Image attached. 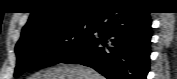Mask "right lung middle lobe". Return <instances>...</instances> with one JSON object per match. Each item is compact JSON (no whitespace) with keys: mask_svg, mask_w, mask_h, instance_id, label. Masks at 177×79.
I'll list each match as a JSON object with an SVG mask.
<instances>
[{"mask_svg":"<svg viewBox=\"0 0 177 79\" xmlns=\"http://www.w3.org/2000/svg\"><path fill=\"white\" fill-rule=\"evenodd\" d=\"M92 21H74L41 28L18 41L15 77L30 69L60 63L91 34Z\"/></svg>","mask_w":177,"mask_h":79,"instance_id":"right-lung-middle-lobe-1","label":"right lung middle lobe"}]
</instances>
